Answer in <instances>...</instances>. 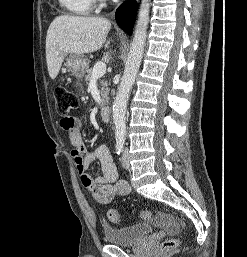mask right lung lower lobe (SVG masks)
I'll return each mask as SVG.
<instances>
[{
	"instance_id": "right-lung-lower-lobe-1",
	"label": "right lung lower lobe",
	"mask_w": 247,
	"mask_h": 257,
	"mask_svg": "<svg viewBox=\"0 0 247 257\" xmlns=\"http://www.w3.org/2000/svg\"><path fill=\"white\" fill-rule=\"evenodd\" d=\"M137 14L135 1H127L120 5L115 13V19L119 27L126 33L131 34Z\"/></svg>"
}]
</instances>
